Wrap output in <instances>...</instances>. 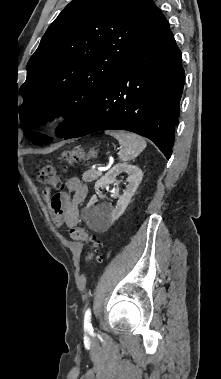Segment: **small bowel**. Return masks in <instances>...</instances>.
I'll return each mask as SVG.
<instances>
[{
	"label": "small bowel",
	"instance_id": "c3829d8e",
	"mask_svg": "<svg viewBox=\"0 0 221 379\" xmlns=\"http://www.w3.org/2000/svg\"><path fill=\"white\" fill-rule=\"evenodd\" d=\"M65 186L64 192L49 190V210L57 226L73 228L79 223V204L87 195V187L78 177L69 178Z\"/></svg>",
	"mask_w": 221,
	"mask_h": 379
}]
</instances>
